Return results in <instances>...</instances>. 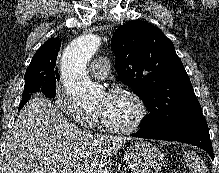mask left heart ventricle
I'll return each mask as SVG.
<instances>
[{
  "instance_id": "1",
  "label": "left heart ventricle",
  "mask_w": 219,
  "mask_h": 173,
  "mask_svg": "<svg viewBox=\"0 0 219 173\" xmlns=\"http://www.w3.org/2000/svg\"><path fill=\"white\" fill-rule=\"evenodd\" d=\"M96 111L111 125H130L137 116V107L125 94L103 93L96 104Z\"/></svg>"
}]
</instances>
